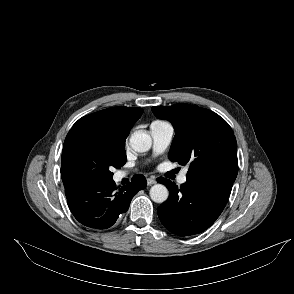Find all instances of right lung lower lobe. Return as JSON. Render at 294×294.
<instances>
[{
  "label": "right lung lower lobe",
  "instance_id": "right-lung-lower-lobe-1",
  "mask_svg": "<svg viewBox=\"0 0 294 294\" xmlns=\"http://www.w3.org/2000/svg\"><path fill=\"white\" fill-rule=\"evenodd\" d=\"M113 179L99 183L65 188L70 211L83 225L96 229L111 227L125 213L133 196L146 187L143 175H135L129 185L117 190Z\"/></svg>",
  "mask_w": 294,
  "mask_h": 294
}]
</instances>
